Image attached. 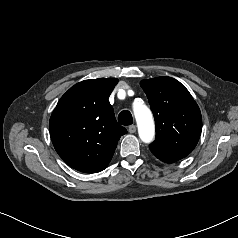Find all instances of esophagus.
<instances>
[{
    "instance_id": "34e87169",
    "label": "esophagus",
    "mask_w": 238,
    "mask_h": 238,
    "mask_svg": "<svg viewBox=\"0 0 238 238\" xmlns=\"http://www.w3.org/2000/svg\"><path fill=\"white\" fill-rule=\"evenodd\" d=\"M128 131H129V133H135L136 132V126L135 125H130L128 127Z\"/></svg>"
}]
</instances>
